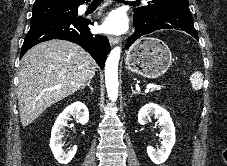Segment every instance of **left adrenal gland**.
Masks as SVG:
<instances>
[{"label": "left adrenal gland", "mask_w": 227, "mask_h": 166, "mask_svg": "<svg viewBox=\"0 0 227 166\" xmlns=\"http://www.w3.org/2000/svg\"><path fill=\"white\" fill-rule=\"evenodd\" d=\"M131 91H132V95H133V94H138L137 91L133 90V87H131Z\"/></svg>", "instance_id": "1"}]
</instances>
